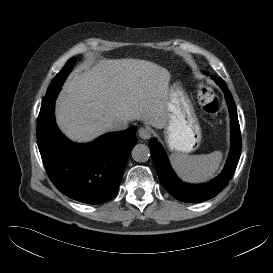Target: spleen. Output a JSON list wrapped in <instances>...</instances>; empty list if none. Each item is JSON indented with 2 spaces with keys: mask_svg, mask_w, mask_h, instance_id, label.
Here are the masks:
<instances>
[{
  "mask_svg": "<svg viewBox=\"0 0 273 273\" xmlns=\"http://www.w3.org/2000/svg\"><path fill=\"white\" fill-rule=\"evenodd\" d=\"M170 158L174 170L182 180L200 183L214 176L222 160V153L220 151L202 155L174 153Z\"/></svg>",
  "mask_w": 273,
  "mask_h": 273,
  "instance_id": "spleen-1",
  "label": "spleen"
}]
</instances>
